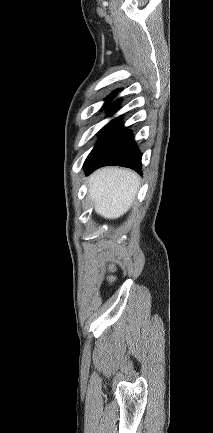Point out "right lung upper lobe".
<instances>
[{"instance_id":"right-lung-upper-lobe-1","label":"right lung upper lobe","mask_w":213,"mask_h":433,"mask_svg":"<svg viewBox=\"0 0 213 433\" xmlns=\"http://www.w3.org/2000/svg\"><path fill=\"white\" fill-rule=\"evenodd\" d=\"M118 91H120V90H116V91H114V93H112L110 96L115 97V96L117 95L116 92H118Z\"/></svg>"}]
</instances>
